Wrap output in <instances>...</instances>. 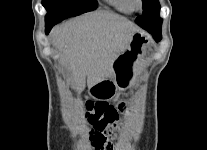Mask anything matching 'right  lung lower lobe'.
I'll list each match as a JSON object with an SVG mask.
<instances>
[{
	"label": "right lung lower lobe",
	"instance_id": "1",
	"mask_svg": "<svg viewBox=\"0 0 207 150\" xmlns=\"http://www.w3.org/2000/svg\"><path fill=\"white\" fill-rule=\"evenodd\" d=\"M56 23L54 22H49V23H46V34H48L51 30V28L55 25Z\"/></svg>",
	"mask_w": 207,
	"mask_h": 150
}]
</instances>
